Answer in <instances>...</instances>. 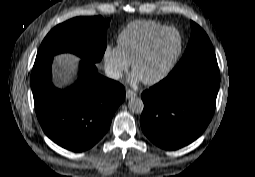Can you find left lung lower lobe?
Here are the masks:
<instances>
[{
  "label": "left lung lower lobe",
  "mask_w": 255,
  "mask_h": 177,
  "mask_svg": "<svg viewBox=\"0 0 255 177\" xmlns=\"http://www.w3.org/2000/svg\"><path fill=\"white\" fill-rule=\"evenodd\" d=\"M220 76L217 63H200L168 75L142 93L140 123L157 146L173 150L190 144L208 126Z\"/></svg>",
  "instance_id": "left-lung-lower-lobe-1"
}]
</instances>
